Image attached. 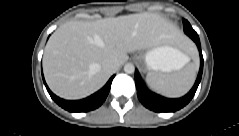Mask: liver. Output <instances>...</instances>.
<instances>
[{
    "label": "liver",
    "mask_w": 239,
    "mask_h": 136,
    "mask_svg": "<svg viewBox=\"0 0 239 136\" xmlns=\"http://www.w3.org/2000/svg\"><path fill=\"white\" fill-rule=\"evenodd\" d=\"M165 44H186L178 27L154 13H139L94 22L68 21L50 37L43 70L49 88L69 100L99 90L113 73L103 67L116 60L119 67L128 53Z\"/></svg>",
    "instance_id": "liver-1"
}]
</instances>
